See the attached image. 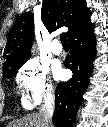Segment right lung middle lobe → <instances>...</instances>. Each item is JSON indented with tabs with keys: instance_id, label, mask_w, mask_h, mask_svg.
<instances>
[{
	"instance_id": "obj_1",
	"label": "right lung middle lobe",
	"mask_w": 108,
	"mask_h": 127,
	"mask_svg": "<svg viewBox=\"0 0 108 127\" xmlns=\"http://www.w3.org/2000/svg\"><path fill=\"white\" fill-rule=\"evenodd\" d=\"M27 60L23 61V62H20V63H17V64H14V65H5L3 67V71H4V74H5V77L6 78H10L12 77L13 75H16L17 73V70L26 62Z\"/></svg>"
}]
</instances>
